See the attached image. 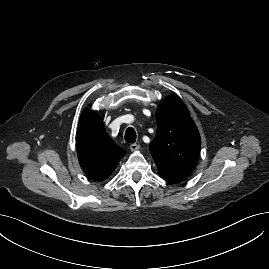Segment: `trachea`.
<instances>
[{
  "instance_id": "3493384b",
  "label": "trachea",
  "mask_w": 269,
  "mask_h": 269,
  "mask_svg": "<svg viewBox=\"0 0 269 269\" xmlns=\"http://www.w3.org/2000/svg\"><path fill=\"white\" fill-rule=\"evenodd\" d=\"M125 141L134 143L136 141V132L132 127H129L125 132Z\"/></svg>"
}]
</instances>
